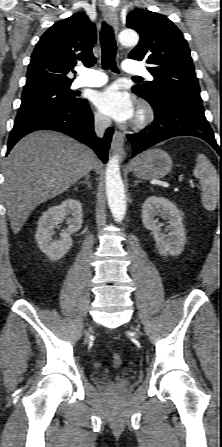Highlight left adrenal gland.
Returning a JSON list of instances; mask_svg holds the SVG:
<instances>
[{
    "mask_svg": "<svg viewBox=\"0 0 222 447\" xmlns=\"http://www.w3.org/2000/svg\"><path fill=\"white\" fill-rule=\"evenodd\" d=\"M138 183H141V181L139 180L134 181V186H136Z\"/></svg>",
    "mask_w": 222,
    "mask_h": 447,
    "instance_id": "obj_1",
    "label": "left adrenal gland"
}]
</instances>
